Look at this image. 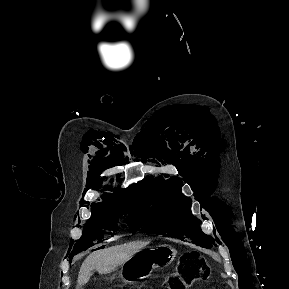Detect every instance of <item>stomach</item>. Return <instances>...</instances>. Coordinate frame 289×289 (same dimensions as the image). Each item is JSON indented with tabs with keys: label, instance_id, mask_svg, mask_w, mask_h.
<instances>
[{
	"label": "stomach",
	"instance_id": "obj_1",
	"mask_svg": "<svg viewBox=\"0 0 289 289\" xmlns=\"http://www.w3.org/2000/svg\"><path fill=\"white\" fill-rule=\"evenodd\" d=\"M175 256L176 250L166 244L141 249L122 265L121 278L127 281L146 278L155 268L169 265Z\"/></svg>",
	"mask_w": 289,
	"mask_h": 289
}]
</instances>
